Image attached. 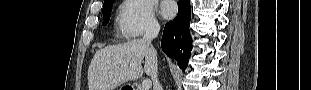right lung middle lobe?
Returning a JSON list of instances; mask_svg holds the SVG:
<instances>
[{
    "mask_svg": "<svg viewBox=\"0 0 311 90\" xmlns=\"http://www.w3.org/2000/svg\"><path fill=\"white\" fill-rule=\"evenodd\" d=\"M114 3V0H111L110 2L103 4V17H104V21L102 23V25H107L109 20H110V16H111V10H112V5Z\"/></svg>",
    "mask_w": 311,
    "mask_h": 90,
    "instance_id": "1",
    "label": "right lung middle lobe"
}]
</instances>
